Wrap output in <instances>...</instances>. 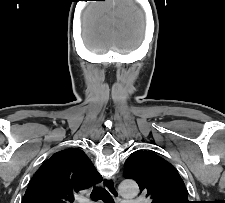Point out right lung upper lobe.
Returning a JSON list of instances; mask_svg holds the SVG:
<instances>
[{
	"label": "right lung upper lobe",
	"instance_id": "right-lung-upper-lobe-1",
	"mask_svg": "<svg viewBox=\"0 0 225 203\" xmlns=\"http://www.w3.org/2000/svg\"><path fill=\"white\" fill-rule=\"evenodd\" d=\"M101 181V175L83 150H61L34 174L22 203H72L76 193Z\"/></svg>",
	"mask_w": 225,
	"mask_h": 203
}]
</instances>
